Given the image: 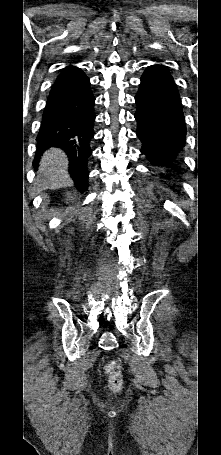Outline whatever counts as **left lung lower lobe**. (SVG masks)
<instances>
[{
	"label": "left lung lower lobe",
	"instance_id": "left-lung-lower-lobe-1",
	"mask_svg": "<svg viewBox=\"0 0 221 455\" xmlns=\"http://www.w3.org/2000/svg\"><path fill=\"white\" fill-rule=\"evenodd\" d=\"M135 102L141 152L168 178L164 169L173 165L184 147L186 126L178 90L164 66L153 65L145 70Z\"/></svg>",
	"mask_w": 221,
	"mask_h": 455
}]
</instances>
